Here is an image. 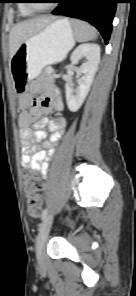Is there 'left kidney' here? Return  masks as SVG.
<instances>
[{"label":"left kidney","instance_id":"obj_1","mask_svg":"<svg viewBox=\"0 0 136 296\" xmlns=\"http://www.w3.org/2000/svg\"><path fill=\"white\" fill-rule=\"evenodd\" d=\"M100 51L99 45L84 43L79 45L71 54V68L67 72L69 78L73 74V65L83 57L86 59L79 68L82 77L78 80V88L74 90L69 81L65 85L67 105L71 112L79 110L89 92L94 75L98 69ZM75 92L76 94L74 95Z\"/></svg>","mask_w":136,"mask_h":296}]
</instances>
